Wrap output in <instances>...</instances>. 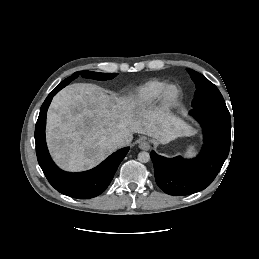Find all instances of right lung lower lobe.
I'll use <instances>...</instances> for the list:
<instances>
[{
	"instance_id": "right-lung-lower-lobe-1",
	"label": "right lung lower lobe",
	"mask_w": 259,
	"mask_h": 259,
	"mask_svg": "<svg viewBox=\"0 0 259 259\" xmlns=\"http://www.w3.org/2000/svg\"><path fill=\"white\" fill-rule=\"evenodd\" d=\"M64 86L58 85L45 99L35 127L36 154L39 165L49 183L60 193L79 199H89L101 194L111 182L129 147L110 155L97 167L80 173L59 169L51 159L45 140L46 114L53 96Z\"/></svg>"
}]
</instances>
